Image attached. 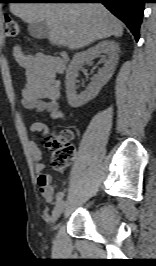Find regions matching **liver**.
<instances>
[{"label":"liver","mask_w":156,"mask_h":266,"mask_svg":"<svg viewBox=\"0 0 156 266\" xmlns=\"http://www.w3.org/2000/svg\"><path fill=\"white\" fill-rule=\"evenodd\" d=\"M10 11L26 23L45 21L48 40L58 47L80 49L123 34L122 23L98 3H11Z\"/></svg>","instance_id":"1"}]
</instances>
